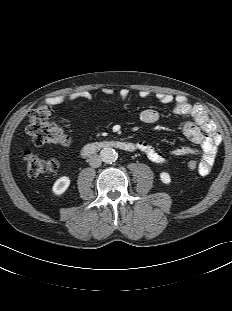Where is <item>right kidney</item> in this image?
Instances as JSON below:
<instances>
[{
	"instance_id": "ca27d5eb",
	"label": "right kidney",
	"mask_w": 232,
	"mask_h": 311,
	"mask_svg": "<svg viewBox=\"0 0 232 311\" xmlns=\"http://www.w3.org/2000/svg\"><path fill=\"white\" fill-rule=\"evenodd\" d=\"M70 185L69 177L62 176L57 179L53 185L52 191L55 195H62Z\"/></svg>"
}]
</instances>
